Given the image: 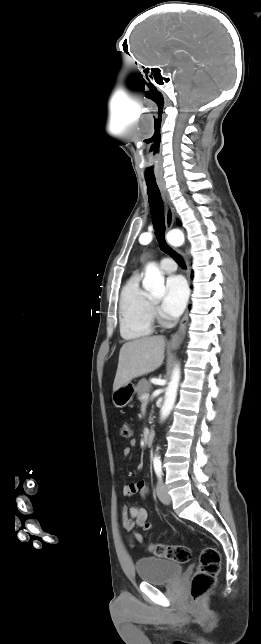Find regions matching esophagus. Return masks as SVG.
I'll return each mask as SVG.
<instances>
[{
  "mask_svg": "<svg viewBox=\"0 0 261 644\" xmlns=\"http://www.w3.org/2000/svg\"><path fill=\"white\" fill-rule=\"evenodd\" d=\"M158 186H159L161 196H162V199H163L164 205H165V226H166V230L169 231L172 228L173 223H174V219H175L174 208L172 206V203L170 201V198H169V195L167 193V190L165 188L164 183L159 181ZM176 251L184 258V261H185L186 266H187V276L189 278V276H190L189 259H188L187 255L184 252H182L181 250L176 249ZM188 313H189V311H188V307H187V309H186V311L184 313V316L181 319L180 326H179L178 330L171 337V340H170V345L171 346H178L183 342L185 334H186V328H187V324H188V319H189Z\"/></svg>",
  "mask_w": 261,
  "mask_h": 644,
  "instance_id": "34e87169",
  "label": "esophagus"
}]
</instances>
